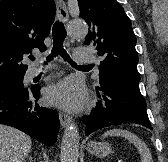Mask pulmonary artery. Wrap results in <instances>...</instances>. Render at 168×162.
<instances>
[{
  "instance_id": "1",
  "label": "pulmonary artery",
  "mask_w": 168,
  "mask_h": 162,
  "mask_svg": "<svg viewBox=\"0 0 168 162\" xmlns=\"http://www.w3.org/2000/svg\"><path fill=\"white\" fill-rule=\"evenodd\" d=\"M74 55L77 61L79 62H92L94 61L93 56L88 53L84 48H76ZM43 70L41 68L32 67L28 70L27 76L33 78L36 75L40 74Z\"/></svg>"
}]
</instances>
